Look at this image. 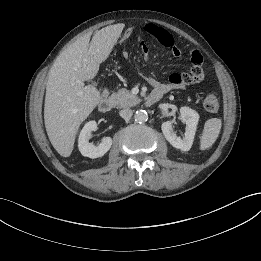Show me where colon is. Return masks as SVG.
<instances>
[{
	"label": "colon",
	"mask_w": 261,
	"mask_h": 261,
	"mask_svg": "<svg viewBox=\"0 0 261 261\" xmlns=\"http://www.w3.org/2000/svg\"><path fill=\"white\" fill-rule=\"evenodd\" d=\"M133 34L134 28L132 26H127L123 33L117 38L116 45L118 47H123ZM203 106L209 112H216L220 107L219 98L215 94L209 93L203 99Z\"/></svg>",
	"instance_id": "obj_1"
}]
</instances>
